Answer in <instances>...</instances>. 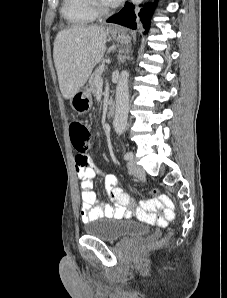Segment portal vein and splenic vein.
Instances as JSON below:
<instances>
[{"label": "portal vein and splenic vein", "instance_id": "obj_1", "mask_svg": "<svg viewBox=\"0 0 227 298\" xmlns=\"http://www.w3.org/2000/svg\"><path fill=\"white\" fill-rule=\"evenodd\" d=\"M96 83L100 86L103 84V78L101 77V75L99 77H97Z\"/></svg>", "mask_w": 227, "mask_h": 298}]
</instances>
